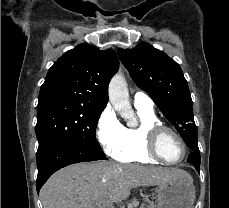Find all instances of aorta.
<instances>
[{
	"mask_svg": "<svg viewBox=\"0 0 229 208\" xmlns=\"http://www.w3.org/2000/svg\"><path fill=\"white\" fill-rule=\"evenodd\" d=\"M109 100L122 118L129 120L131 124L136 122L135 113L129 100L127 83L124 76L120 73L116 74L110 81Z\"/></svg>",
	"mask_w": 229,
	"mask_h": 208,
	"instance_id": "obj_1",
	"label": "aorta"
}]
</instances>
